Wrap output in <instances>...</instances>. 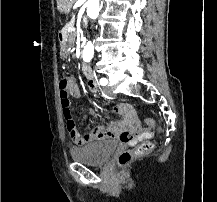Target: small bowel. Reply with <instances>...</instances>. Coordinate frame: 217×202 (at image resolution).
I'll use <instances>...</instances> for the list:
<instances>
[{
	"label": "small bowel",
	"instance_id": "small-bowel-1",
	"mask_svg": "<svg viewBox=\"0 0 217 202\" xmlns=\"http://www.w3.org/2000/svg\"><path fill=\"white\" fill-rule=\"evenodd\" d=\"M88 89L91 93H96L98 88L96 81L93 78L87 79ZM70 96L79 98L81 90L74 80V85L70 90ZM116 113L121 114L120 119L111 122L110 124L95 126L86 133L80 134L75 131L70 135L71 143L74 146H84L90 143H95L103 140H118L122 145H135L143 140V136H152L150 128L140 126L135 114L132 113L135 108L134 104H115ZM96 112L93 108H87L86 117H94Z\"/></svg>",
	"mask_w": 217,
	"mask_h": 202
}]
</instances>
